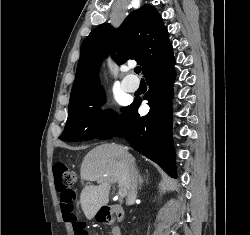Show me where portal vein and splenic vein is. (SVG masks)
<instances>
[{"instance_id": "18ae733b", "label": "portal vein and splenic vein", "mask_w": 250, "mask_h": 235, "mask_svg": "<svg viewBox=\"0 0 250 235\" xmlns=\"http://www.w3.org/2000/svg\"><path fill=\"white\" fill-rule=\"evenodd\" d=\"M119 194H120V197H124L126 195V191L120 190Z\"/></svg>"}]
</instances>
